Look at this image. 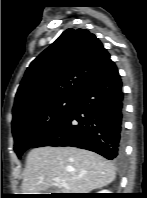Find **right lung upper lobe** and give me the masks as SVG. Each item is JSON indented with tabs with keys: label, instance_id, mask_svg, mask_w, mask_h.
Masks as SVG:
<instances>
[{
	"label": "right lung upper lobe",
	"instance_id": "1",
	"mask_svg": "<svg viewBox=\"0 0 147 198\" xmlns=\"http://www.w3.org/2000/svg\"><path fill=\"white\" fill-rule=\"evenodd\" d=\"M112 62L88 30L69 28L32 61L18 88L13 121L45 103L76 99Z\"/></svg>",
	"mask_w": 147,
	"mask_h": 198
}]
</instances>
